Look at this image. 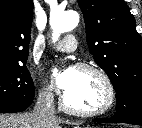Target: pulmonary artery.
Listing matches in <instances>:
<instances>
[{
  "label": "pulmonary artery",
  "mask_w": 142,
  "mask_h": 128,
  "mask_svg": "<svg viewBox=\"0 0 142 128\" xmlns=\"http://www.w3.org/2000/svg\"><path fill=\"white\" fill-rule=\"evenodd\" d=\"M77 48V40L75 38L74 35L69 34L66 35L59 43L58 45L55 47L56 51L59 52H73L75 51Z\"/></svg>",
  "instance_id": "obj_1"
}]
</instances>
